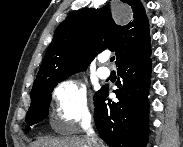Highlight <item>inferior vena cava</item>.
Segmentation results:
<instances>
[{
  "label": "inferior vena cava",
  "mask_w": 183,
  "mask_h": 147,
  "mask_svg": "<svg viewBox=\"0 0 183 147\" xmlns=\"http://www.w3.org/2000/svg\"><path fill=\"white\" fill-rule=\"evenodd\" d=\"M86 140L89 147H102L101 140L97 137L94 130L92 128L89 129Z\"/></svg>",
  "instance_id": "1"
}]
</instances>
